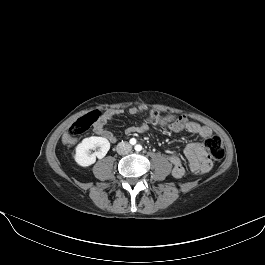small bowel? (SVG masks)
I'll list each match as a JSON object with an SVG mask.
<instances>
[{"label": "small bowel", "mask_w": 265, "mask_h": 265, "mask_svg": "<svg viewBox=\"0 0 265 265\" xmlns=\"http://www.w3.org/2000/svg\"><path fill=\"white\" fill-rule=\"evenodd\" d=\"M145 111V107H132L128 113L131 116H137ZM122 109H110L107 110L103 117H101L94 126V131L97 135L109 140L115 141L116 137L113 133L107 129V125L112 122L115 118L123 114ZM180 120L175 123H156L154 125L167 127L169 130L177 132L180 130H187L191 133H195L201 138H209L212 136L213 131L209 126L202 125L194 120H189L184 116H179ZM153 124V123H152ZM147 130V125L139 123L136 126L128 127L125 129V134L131 135L136 132H144ZM184 155L190 167V170L198 175L206 174L212 167V161L208 156L204 144L202 142L189 143L184 149ZM170 163L173 166L172 173L174 177L181 178L185 173L184 161L176 154L169 156Z\"/></svg>", "instance_id": "obj_1"}]
</instances>
